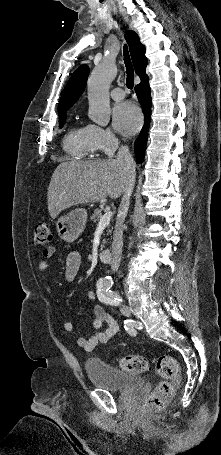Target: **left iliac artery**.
<instances>
[{"label": "left iliac artery", "instance_id": "obj_1", "mask_svg": "<svg viewBox=\"0 0 221 455\" xmlns=\"http://www.w3.org/2000/svg\"><path fill=\"white\" fill-rule=\"evenodd\" d=\"M97 296L101 302L117 306L121 301V297L117 292L110 290V286H98Z\"/></svg>", "mask_w": 221, "mask_h": 455}]
</instances>
